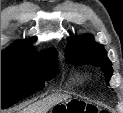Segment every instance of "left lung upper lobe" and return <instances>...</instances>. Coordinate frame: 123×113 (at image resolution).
I'll use <instances>...</instances> for the list:
<instances>
[{
	"label": "left lung upper lobe",
	"instance_id": "5c2ea615",
	"mask_svg": "<svg viewBox=\"0 0 123 113\" xmlns=\"http://www.w3.org/2000/svg\"><path fill=\"white\" fill-rule=\"evenodd\" d=\"M65 57L67 63L74 65L90 64L101 67L106 81H109L112 75V64L107 58L106 51L90 35L80 38L73 37L68 43Z\"/></svg>",
	"mask_w": 123,
	"mask_h": 113
}]
</instances>
